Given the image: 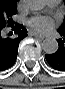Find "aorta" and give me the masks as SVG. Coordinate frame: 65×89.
Returning <instances> with one entry per match:
<instances>
[{
  "label": "aorta",
  "instance_id": "1",
  "mask_svg": "<svg viewBox=\"0 0 65 89\" xmlns=\"http://www.w3.org/2000/svg\"><path fill=\"white\" fill-rule=\"evenodd\" d=\"M29 8L32 11H41L45 8L46 2L45 0H30ZM58 42L55 38H46L42 43V49L47 54H54L58 50Z\"/></svg>",
  "mask_w": 65,
  "mask_h": 89
}]
</instances>
